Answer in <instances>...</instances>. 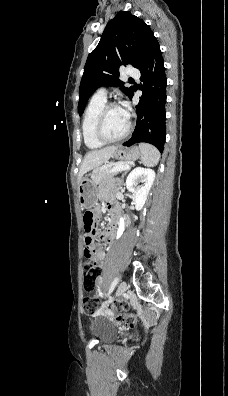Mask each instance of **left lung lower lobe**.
I'll list each match as a JSON object with an SVG mask.
<instances>
[{"label": "left lung lower lobe", "mask_w": 228, "mask_h": 396, "mask_svg": "<svg viewBox=\"0 0 228 396\" xmlns=\"http://www.w3.org/2000/svg\"><path fill=\"white\" fill-rule=\"evenodd\" d=\"M143 82L139 104L136 106L137 122L132 137L124 146L136 143H150L160 152L166 139V86L164 61L159 43L155 39L150 47L144 64L139 69ZM134 91L129 98H132Z\"/></svg>", "instance_id": "0a47b994"}]
</instances>
